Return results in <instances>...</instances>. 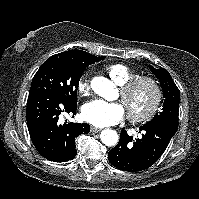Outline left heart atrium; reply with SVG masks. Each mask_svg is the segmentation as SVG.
Wrapping results in <instances>:
<instances>
[{
    "instance_id": "1",
    "label": "left heart atrium",
    "mask_w": 199,
    "mask_h": 199,
    "mask_svg": "<svg viewBox=\"0 0 199 199\" xmlns=\"http://www.w3.org/2000/svg\"><path fill=\"white\" fill-rule=\"evenodd\" d=\"M82 117L88 123L105 127L121 121L125 115V108L119 102H106L101 99L92 100L83 105Z\"/></svg>"
}]
</instances>
